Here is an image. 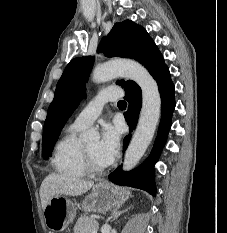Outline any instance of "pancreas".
<instances>
[{"instance_id":"cf45deb5","label":"pancreas","mask_w":227,"mask_h":233,"mask_svg":"<svg viewBox=\"0 0 227 233\" xmlns=\"http://www.w3.org/2000/svg\"><path fill=\"white\" fill-rule=\"evenodd\" d=\"M98 228L99 224L94 218L82 215L74 226V233H94L93 230H98Z\"/></svg>"}]
</instances>
